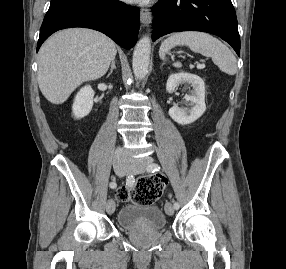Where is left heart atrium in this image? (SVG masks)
Listing matches in <instances>:
<instances>
[{
  "label": "left heart atrium",
  "instance_id": "1",
  "mask_svg": "<svg viewBox=\"0 0 286 269\" xmlns=\"http://www.w3.org/2000/svg\"><path fill=\"white\" fill-rule=\"evenodd\" d=\"M126 2H130V3H146L150 0H124Z\"/></svg>",
  "mask_w": 286,
  "mask_h": 269
}]
</instances>
